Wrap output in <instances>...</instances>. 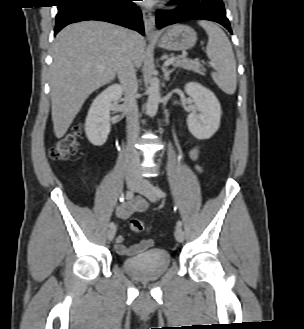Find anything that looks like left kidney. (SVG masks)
<instances>
[{
    "label": "left kidney",
    "instance_id": "1",
    "mask_svg": "<svg viewBox=\"0 0 304 329\" xmlns=\"http://www.w3.org/2000/svg\"><path fill=\"white\" fill-rule=\"evenodd\" d=\"M185 92L195 103V110L187 117L190 133L197 139H209L219 129L221 106L214 93L196 82L185 85Z\"/></svg>",
    "mask_w": 304,
    "mask_h": 329
}]
</instances>
